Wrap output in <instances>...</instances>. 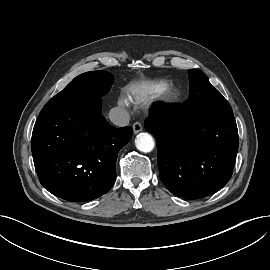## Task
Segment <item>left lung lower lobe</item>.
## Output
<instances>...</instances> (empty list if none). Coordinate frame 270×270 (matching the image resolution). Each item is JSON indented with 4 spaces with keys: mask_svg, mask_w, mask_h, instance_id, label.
I'll return each instance as SVG.
<instances>
[{
    "mask_svg": "<svg viewBox=\"0 0 270 270\" xmlns=\"http://www.w3.org/2000/svg\"><path fill=\"white\" fill-rule=\"evenodd\" d=\"M189 97L183 105L150 114L145 128L157 140L160 179L176 196L198 199L223 188L238 151L234 115H202Z\"/></svg>",
    "mask_w": 270,
    "mask_h": 270,
    "instance_id": "1",
    "label": "left lung lower lobe"
}]
</instances>
